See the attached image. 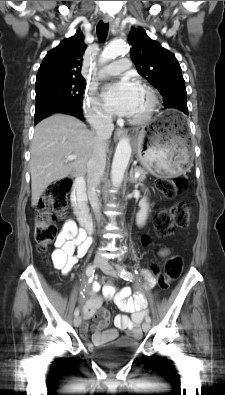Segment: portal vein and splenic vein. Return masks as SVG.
I'll return each mask as SVG.
<instances>
[{"mask_svg": "<svg viewBox=\"0 0 225 395\" xmlns=\"http://www.w3.org/2000/svg\"><path fill=\"white\" fill-rule=\"evenodd\" d=\"M74 159H76L75 155H70V156L67 157V161H72ZM139 176H140V172H136L135 173V177L138 178Z\"/></svg>", "mask_w": 225, "mask_h": 395, "instance_id": "1", "label": "portal vein and splenic vein"}]
</instances>
